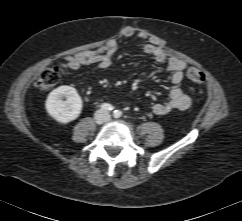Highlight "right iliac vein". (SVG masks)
I'll return each instance as SVG.
<instances>
[{
  "label": "right iliac vein",
  "instance_id": "obj_1",
  "mask_svg": "<svg viewBox=\"0 0 242 221\" xmlns=\"http://www.w3.org/2000/svg\"><path fill=\"white\" fill-rule=\"evenodd\" d=\"M104 118L103 112L99 111L95 114V120L97 123H101Z\"/></svg>",
  "mask_w": 242,
  "mask_h": 221
}]
</instances>
